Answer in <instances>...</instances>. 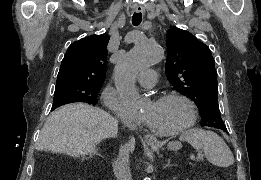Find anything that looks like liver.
Returning a JSON list of instances; mask_svg holds the SVG:
<instances>
[{"mask_svg": "<svg viewBox=\"0 0 261 180\" xmlns=\"http://www.w3.org/2000/svg\"><path fill=\"white\" fill-rule=\"evenodd\" d=\"M118 120L108 112L87 106L68 104L58 108L47 118L39 138V150L66 154L72 158L99 156L97 146L107 138H117ZM133 152L135 138L126 144Z\"/></svg>", "mask_w": 261, "mask_h": 180, "instance_id": "6515ba94", "label": "liver"}]
</instances>
